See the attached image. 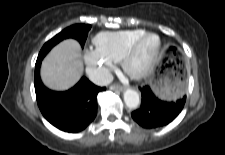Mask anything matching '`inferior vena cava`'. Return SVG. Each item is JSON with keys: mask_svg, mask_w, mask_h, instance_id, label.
Returning a JSON list of instances; mask_svg holds the SVG:
<instances>
[{"mask_svg": "<svg viewBox=\"0 0 225 155\" xmlns=\"http://www.w3.org/2000/svg\"><path fill=\"white\" fill-rule=\"evenodd\" d=\"M91 81L98 86H106L113 81V75L108 70H98L91 77Z\"/></svg>", "mask_w": 225, "mask_h": 155, "instance_id": "1", "label": "inferior vena cava"}]
</instances>
